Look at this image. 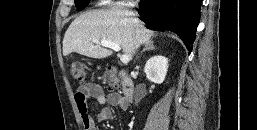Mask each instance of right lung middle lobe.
<instances>
[{
	"label": "right lung middle lobe",
	"mask_w": 257,
	"mask_h": 130,
	"mask_svg": "<svg viewBox=\"0 0 257 130\" xmlns=\"http://www.w3.org/2000/svg\"><path fill=\"white\" fill-rule=\"evenodd\" d=\"M89 0H75V5L77 9H81L87 6Z\"/></svg>",
	"instance_id": "obj_1"
}]
</instances>
